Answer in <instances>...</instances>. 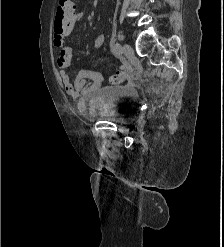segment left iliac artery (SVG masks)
I'll list each match as a JSON object with an SVG mask.
<instances>
[{
    "label": "left iliac artery",
    "instance_id": "obj_1",
    "mask_svg": "<svg viewBox=\"0 0 224 247\" xmlns=\"http://www.w3.org/2000/svg\"><path fill=\"white\" fill-rule=\"evenodd\" d=\"M114 53L120 54L121 53V45L119 43H115L113 47Z\"/></svg>",
    "mask_w": 224,
    "mask_h": 247
}]
</instances>
